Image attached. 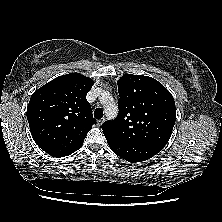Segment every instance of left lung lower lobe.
<instances>
[{"instance_id": "0a47b994", "label": "left lung lower lobe", "mask_w": 222, "mask_h": 222, "mask_svg": "<svg viewBox=\"0 0 222 222\" xmlns=\"http://www.w3.org/2000/svg\"><path fill=\"white\" fill-rule=\"evenodd\" d=\"M111 150L129 162H142L159 153L164 147L151 143H130L104 134Z\"/></svg>"}]
</instances>
